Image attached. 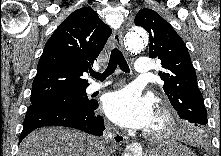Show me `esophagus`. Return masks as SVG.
I'll use <instances>...</instances> for the list:
<instances>
[{"instance_id": "34e87169", "label": "esophagus", "mask_w": 221, "mask_h": 156, "mask_svg": "<svg viewBox=\"0 0 221 156\" xmlns=\"http://www.w3.org/2000/svg\"><path fill=\"white\" fill-rule=\"evenodd\" d=\"M112 42L115 46H117L118 48L122 49L123 47V41H122V33L120 30H115L113 31L112 34ZM113 142L115 143V145L117 146H121L124 143H126L128 141V138L126 136H124L121 133H114L113 134Z\"/></svg>"}]
</instances>
